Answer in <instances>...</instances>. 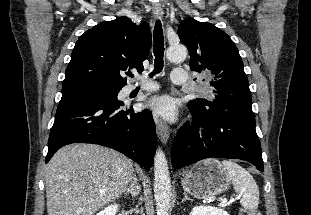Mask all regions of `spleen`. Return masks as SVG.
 <instances>
[{"label": "spleen", "instance_id": "1", "mask_svg": "<svg viewBox=\"0 0 311 215\" xmlns=\"http://www.w3.org/2000/svg\"><path fill=\"white\" fill-rule=\"evenodd\" d=\"M221 165L232 181L233 188L242 195L241 205L249 211H255L259 205V189L253 176L232 160H223Z\"/></svg>", "mask_w": 311, "mask_h": 215}]
</instances>
